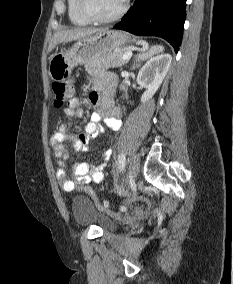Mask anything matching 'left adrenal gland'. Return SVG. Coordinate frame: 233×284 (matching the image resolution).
I'll return each mask as SVG.
<instances>
[{"label":"left adrenal gland","instance_id":"obj_1","mask_svg":"<svg viewBox=\"0 0 233 284\" xmlns=\"http://www.w3.org/2000/svg\"><path fill=\"white\" fill-rule=\"evenodd\" d=\"M136 66H137V65H135V63H134L131 68L134 69Z\"/></svg>","mask_w":233,"mask_h":284}]
</instances>
